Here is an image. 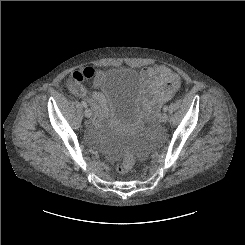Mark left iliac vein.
<instances>
[{"mask_svg":"<svg viewBox=\"0 0 245 245\" xmlns=\"http://www.w3.org/2000/svg\"><path fill=\"white\" fill-rule=\"evenodd\" d=\"M161 122L166 123L168 121V115L164 112L160 117Z\"/></svg>","mask_w":245,"mask_h":245,"instance_id":"4c4485c4","label":"left iliac vein"}]
</instances>
